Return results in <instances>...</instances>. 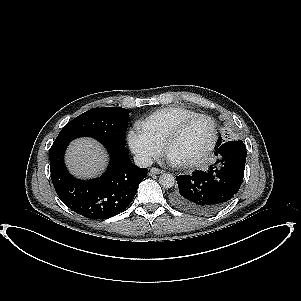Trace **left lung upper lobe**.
I'll list each match as a JSON object with an SVG mask.
<instances>
[{"mask_svg":"<svg viewBox=\"0 0 301 301\" xmlns=\"http://www.w3.org/2000/svg\"><path fill=\"white\" fill-rule=\"evenodd\" d=\"M223 142H224V140H223ZM221 143H222V142H221V137H220L217 146L220 145ZM171 197H172V196H171Z\"/></svg>","mask_w":301,"mask_h":301,"instance_id":"obj_1","label":"left lung upper lobe"}]
</instances>
